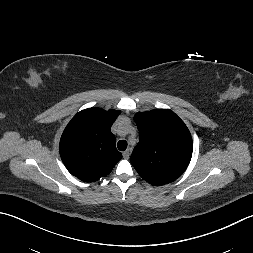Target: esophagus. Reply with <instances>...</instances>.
Instances as JSON below:
<instances>
[{
	"label": "esophagus",
	"instance_id": "obj_1",
	"mask_svg": "<svg viewBox=\"0 0 253 253\" xmlns=\"http://www.w3.org/2000/svg\"><path fill=\"white\" fill-rule=\"evenodd\" d=\"M122 155H123V158L129 159V157H130V150H125V151L122 153Z\"/></svg>",
	"mask_w": 253,
	"mask_h": 253
}]
</instances>
